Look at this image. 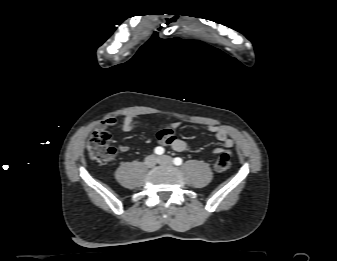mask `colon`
<instances>
[{
	"label": "colon",
	"mask_w": 337,
	"mask_h": 261,
	"mask_svg": "<svg viewBox=\"0 0 337 261\" xmlns=\"http://www.w3.org/2000/svg\"><path fill=\"white\" fill-rule=\"evenodd\" d=\"M90 159L94 163H106L115 154V149L110 145V135L106 131H94L87 145ZM231 166V157L228 153H222L216 159L214 169L217 172H225Z\"/></svg>",
	"instance_id": "colon-1"
}]
</instances>
